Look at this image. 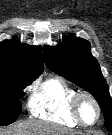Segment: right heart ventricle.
Returning <instances> with one entry per match:
<instances>
[{
  "instance_id": "e07e8e85",
  "label": "right heart ventricle",
  "mask_w": 112,
  "mask_h": 135,
  "mask_svg": "<svg viewBox=\"0 0 112 135\" xmlns=\"http://www.w3.org/2000/svg\"><path fill=\"white\" fill-rule=\"evenodd\" d=\"M75 93L63 79L49 78L33 90L28 102L29 111L35 117L66 127L79 126L71 112V99Z\"/></svg>"
}]
</instances>
